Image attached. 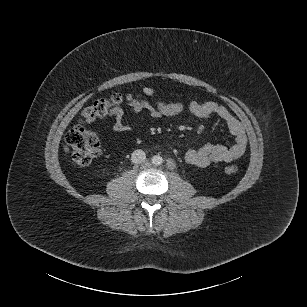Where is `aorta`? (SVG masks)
Instances as JSON below:
<instances>
[{
	"label": "aorta",
	"mask_w": 307,
	"mask_h": 307,
	"mask_svg": "<svg viewBox=\"0 0 307 307\" xmlns=\"http://www.w3.org/2000/svg\"><path fill=\"white\" fill-rule=\"evenodd\" d=\"M151 162L153 165L159 166L163 163V158L160 155H154L151 158Z\"/></svg>",
	"instance_id": "762f6f07"
}]
</instances>
